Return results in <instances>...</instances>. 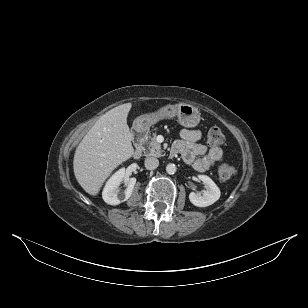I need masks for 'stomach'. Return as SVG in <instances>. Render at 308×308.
<instances>
[{"instance_id":"1","label":"stomach","mask_w":308,"mask_h":308,"mask_svg":"<svg viewBox=\"0 0 308 308\" xmlns=\"http://www.w3.org/2000/svg\"><path fill=\"white\" fill-rule=\"evenodd\" d=\"M177 116L178 122L184 127H195L200 122V112L193 105L179 103L168 105L157 112L139 116L135 120L138 129L146 130L159 120Z\"/></svg>"}]
</instances>
